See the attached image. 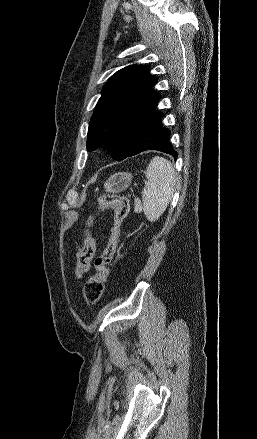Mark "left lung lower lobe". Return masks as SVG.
I'll use <instances>...</instances> for the list:
<instances>
[{"label":"left lung lower lobe","instance_id":"0a47b994","mask_svg":"<svg viewBox=\"0 0 257 439\" xmlns=\"http://www.w3.org/2000/svg\"><path fill=\"white\" fill-rule=\"evenodd\" d=\"M162 117L163 113L156 108L151 112L140 130L135 146L127 157L147 150H158L172 155L174 159L177 158L178 154L169 141L170 130L163 127Z\"/></svg>","mask_w":257,"mask_h":439}]
</instances>
